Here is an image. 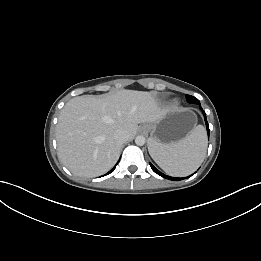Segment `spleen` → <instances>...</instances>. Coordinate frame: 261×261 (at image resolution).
<instances>
[{"label": "spleen", "mask_w": 261, "mask_h": 261, "mask_svg": "<svg viewBox=\"0 0 261 261\" xmlns=\"http://www.w3.org/2000/svg\"><path fill=\"white\" fill-rule=\"evenodd\" d=\"M207 147L205 129L195 126L175 143L161 144L149 140L148 150L153 160L168 175L183 177L193 173L202 163Z\"/></svg>", "instance_id": "spleen-1"}]
</instances>
